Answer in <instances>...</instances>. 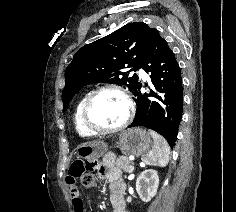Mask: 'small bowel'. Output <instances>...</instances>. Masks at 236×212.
<instances>
[{"label": "small bowel", "instance_id": "obj_1", "mask_svg": "<svg viewBox=\"0 0 236 212\" xmlns=\"http://www.w3.org/2000/svg\"><path fill=\"white\" fill-rule=\"evenodd\" d=\"M72 170V169H71ZM101 176L106 179L110 187V202L114 212H125V203L123 200L124 183L121 180L120 171L110 168L106 163L102 164ZM66 183L69 186L70 195L74 212H84L83 199L76 184H81L82 180L78 175H67Z\"/></svg>", "mask_w": 236, "mask_h": 212}]
</instances>
